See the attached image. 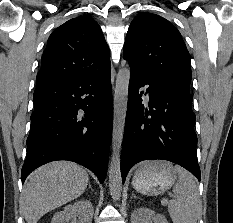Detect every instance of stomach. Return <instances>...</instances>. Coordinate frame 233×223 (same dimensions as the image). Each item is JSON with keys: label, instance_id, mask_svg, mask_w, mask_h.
Listing matches in <instances>:
<instances>
[{"label": "stomach", "instance_id": "obj_1", "mask_svg": "<svg viewBox=\"0 0 233 223\" xmlns=\"http://www.w3.org/2000/svg\"><path fill=\"white\" fill-rule=\"evenodd\" d=\"M177 177V169L170 161H144L136 169L132 185L138 193L159 195L170 189Z\"/></svg>", "mask_w": 233, "mask_h": 223}]
</instances>
